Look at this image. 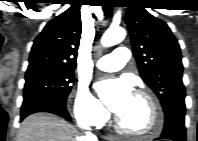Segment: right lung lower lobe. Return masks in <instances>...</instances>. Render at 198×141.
<instances>
[{
  "instance_id": "right-lung-lower-lobe-1",
  "label": "right lung lower lobe",
  "mask_w": 198,
  "mask_h": 141,
  "mask_svg": "<svg viewBox=\"0 0 198 141\" xmlns=\"http://www.w3.org/2000/svg\"><path fill=\"white\" fill-rule=\"evenodd\" d=\"M36 112H49L59 115L68 121H71L66 105L56 100L44 97H28L24 98L21 107V120L26 116Z\"/></svg>"
}]
</instances>
